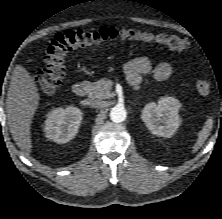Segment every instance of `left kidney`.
Masks as SVG:
<instances>
[{
	"instance_id": "1",
	"label": "left kidney",
	"mask_w": 222,
	"mask_h": 219,
	"mask_svg": "<svg viewBox=\"0 0 222 219\" xmlns=\"http://www.w3.org/2000/svg\"><path fill=\"white\" fill-rule=\"evenodd\" d=\"M178 99L174 97H161L158 104L150 102L142 110L141 118L146 127L154 135L171 137L180 126Z\"/></svg>"
}]
</instances>
